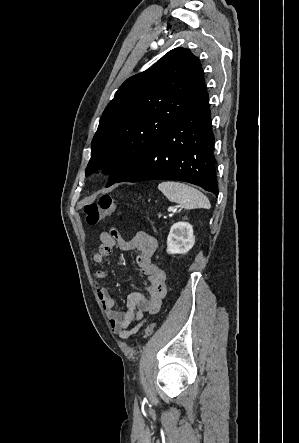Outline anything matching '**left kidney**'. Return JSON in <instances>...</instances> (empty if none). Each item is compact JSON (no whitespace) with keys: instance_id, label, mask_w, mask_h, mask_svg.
<instances>
[{"instance_id":"left-kidney-1","label":"left kidney","mask_w":299,"mask_h":443,"mask_svg":"<svg viewBox=\"0 0 299 443\" xmlns=\"http://www.w3.org/2000/svg\"><path fill=\"white\" fill-rule=\"evenodd\" d=\"M195 244L193 228L187 222L172 225L167 238L168 254H186Z\"/></svg>"}]
</instances>
